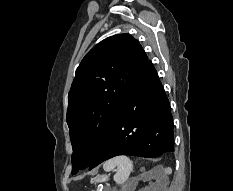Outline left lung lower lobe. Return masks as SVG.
I'll list each match as a JSON object with an SVG mask.
<instances>
[{
    "label": "left lung lower lobe",
    "instance_id": "0a47b994",
    "mask_svg": "<svg viewBox=\"0 0 233 191\" xmlns=\"http://www.w3.org/2000/svg\"><path fill=\"white\" fill-rule=\"evenodd\" d=\"M174 152L173 118L157 72L147 61L89 166L118 155L154 158Z\"/></svg>",
    "mask_w": 233,
    "mask_h": 191
}]
</instances>
